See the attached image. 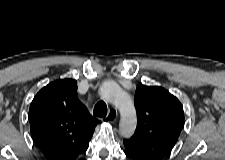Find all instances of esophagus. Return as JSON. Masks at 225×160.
<instances>
[{"mask_svg": "<svg viewBox=\"0 0 225 160\" xmlns=\"http://www.w3.org/2000/svg\"><path fill=\"white\" fill-rule=\"evenodd\" d=\"M117 118H118L117 109L115 108L110 109L109 113L106 116V120H108V122L114 123Z\"/></svg>", "mask_w": 225, "mask_h": 160, "instance_id": "esophagus-1", "label": "esophagus"}]
</instances>
